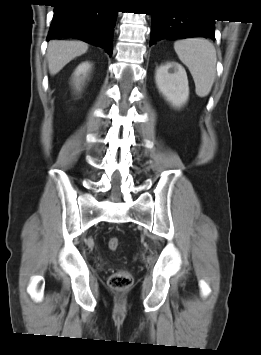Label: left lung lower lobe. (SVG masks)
<instances>
[{
    "label": "left lung lower lobe",
    "mask_w": 261,
    "mask_h": 355,
    "mask_svg": "<svg viewBox=\"0 0 261 355\" xmlns=\"http://www.w3.org/2000/svg\"><path fill=\"white\" fill-rule=\"evenodd\" d=\"M191 37H204L214 40V20L152 14L150 45L162 39Z\"/></svg>",
    "instance_id": "left-lung-lower-lobe-1"
}]
</instances>
